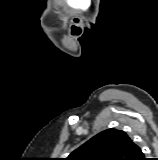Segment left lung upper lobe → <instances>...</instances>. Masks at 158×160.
Returning a JSON list of instances; mask_svg holds the SVG:
<instances>
[{"instance_id": "5c2ea615", "label": "left lung upper lobe", "mask_w": 158, "mask_h": 160, "mask_svg": "<svg viewBox=\"0 0 158 160\" xmlns=\"http://www.w3.org/2000/svg\"><path fill=\"white\" fill-rule=\"evenodd\" d=\"M135 148L124 131L108 129L74 150L66 160H130Z\"/></svg>"}]
</instances>
